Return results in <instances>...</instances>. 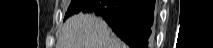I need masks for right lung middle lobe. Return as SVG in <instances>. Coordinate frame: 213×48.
<instances>
[{"mask_svg": "<svg viewBox=\"0 0 213 48\" xmlns=\"http://www.w3.org/2000/svg\"><path fill=\"white\" fill-rule=\"evenodd\" d=\"M88 0H72L65 15V19L73 14L81 12ZM64 19V21H65Z\"/></svg>", "mask_w": 213, "mask_h": 48, "instance_id": "dd1d6c3e", "label": "right lung middle lobe"}]
</instances>
